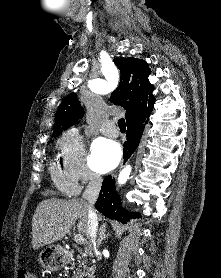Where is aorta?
I'll return each mask as SVG.
<instances>
[{"instance_id":"762f6f07","label":"aorta","mask_w":221,"mask_h":278,"mask_svg":"<svg viewBox=\"0 0 221 278\" xmlns=\"http://www.w3.org/2000/svg\"><path fill=\"white\" fill-rule=\"evenodd\" d=\"M130 173H131V167L130 166L125 167L119 174L118 183L119 184L126 183L127 180L129 179Z\"/></svg>"}]
</instances>
